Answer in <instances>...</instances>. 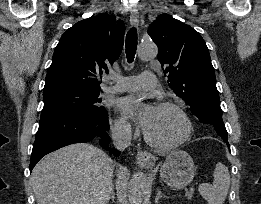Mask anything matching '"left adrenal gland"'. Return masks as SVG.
I'll list each match as a JSON object with an SVG mask.
<instances>
[{
	"mask_svg": "<svg viewBox=\"0 0 261 204\" xmlns=\"http://www.w3.org/2000/svg\"><path fill=\"white\" fill-rule=\"evenodd\" d=\"M161 197H166L165 194L162 193L160 189L157 190V195L155 197V203H158V200L161 199Z\"/></svg>",
	"mask_w": 261,
	"mask_h": 204,
	"instance_id": "a2214340",
	"label": "left adrenal gland"
}]
</instances>
